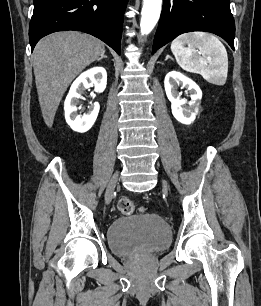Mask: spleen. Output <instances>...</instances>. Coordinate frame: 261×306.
<instances>
[{"mask_svg": "<svg viewBox=\"0 0 261 306\" xmlns=\"http://www.w3.org/2000/svg\"><path fill=\"white\" fill-rule=\"evenodd\" d=\"M171 51L183 70L200 74L215 85L226 83L228 55L214 35L199 31L181 34L171 43Z\"/></svg>", "mask_w": 261, "mask_h": 306, "instance_id": "3e777b00", "label": "spleen"}]
</instances>
